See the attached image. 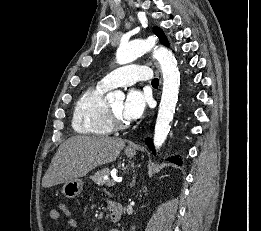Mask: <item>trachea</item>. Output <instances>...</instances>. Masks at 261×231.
<instances>
[{
	"mask_svg": "<svg viewBox=\"0 0 261 231\" xmlns=\"http://www.w3.org/2000/svg\"><path fill=\"white\" fill-rule=\"evenodd\" d=\"M158 84H159L158 78H154V79L152 80V85L158 86Z\"/></svg>",
	"mask_w": 261,
	"mask_h": 231,
	"instance_id": "1",
	"label": "trachea"
}]
</instances>
